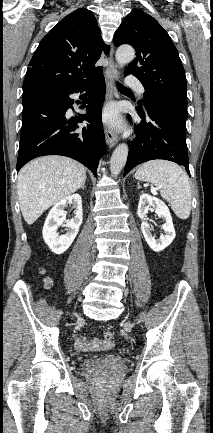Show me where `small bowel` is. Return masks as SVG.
I'll list each match as a JSON object with an SVG mask.
<instances>
[{"instance_id":"c3829d8e","label":"small bowel","mask_w":213,"mask_h":433,"mask_svg":"<svg viewBox=\"0 0 213 433\" xmlns=\"http://www.w3.org/2000/svg\"><path fill=\"white\" fill-rule=\"evenodd\" d=\"M112 346V343H107L105 341H102L100 339H94L91 341H88L84 336H79L75 340V348L80 351H94V350H101L110 348Z\"/></svg>"}]
</instances>
